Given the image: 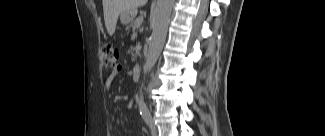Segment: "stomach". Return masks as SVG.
<instances>
[{
  "label": "stomach",
  "mask_w": 325,
  "mask_h": 136,
  "mask_svg": "<svg viewBox=\"0 0 325 136\" xmlns=\"http://www.w3.org/2000/svg\"><path fill=\"white\" fill-rule=\"evenodd\" d=\"M135 15H136V10H132V11L121 14L120 19H121L122 23L127 24L130 22L131 19H133L135 17Z\"/></svg>",
  "instance_id": "obj_1"
}]
</instances>
